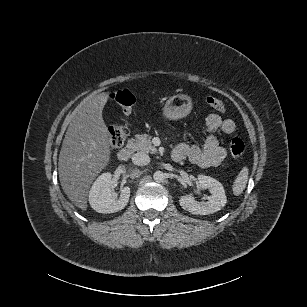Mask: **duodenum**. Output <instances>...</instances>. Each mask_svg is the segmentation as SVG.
Instances as JSON below:
<instances>
[{"label":"duodenum","mask_w":307,"mask_h":307,"mask_svg":"<svg viewBox=\"0 0 307 307\" xmlns=\"http://www.w3.org/2000/svg\"><path fill=\"white\" fill-rule=\"evenodd\" d=\"M132 151H133V145L129 143L128 145L119 150L118 152L119 160L127 161L130 158Z\"/></svg>","instance_id":"410a0bca"}]
</instances>
